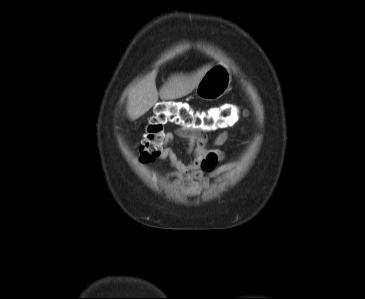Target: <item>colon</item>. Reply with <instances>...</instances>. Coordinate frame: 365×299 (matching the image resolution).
Listing matches in <instances>:
<instances>
[{"instance_id": "obj_1", "label": "colon", "mask_w": 365, "mask_h": 299, "mask_svg": "<svg viewBox=\"0 0 365 299\" xmlns=\"http://www.w3.org/2000/svg\"><path fill=\"white\" fill-rule=\"evenodd\" d=\"M230 107H215L198 110L180 101H161L145 125V138L140 144V158L151 162L158 158L165 144V126L174 124L181 128L215 131L230 126L232 122Z\"/></svg>"}]
</instances>
